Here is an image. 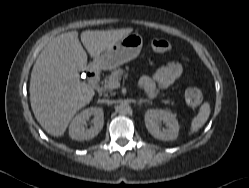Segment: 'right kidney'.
I'll use <instances>...</instances> for the list:
<instances>
[{
  "label": "right kidney",
  "instance_id": "ca27d5eb",
  "mask_svg": "<svg viewBox=\"0 0 249 188\" xmlns=\"http://www.w3.org/2000/svg\"><path fill=\"white\" fill-rule=\"evenodd\" d=\"M91 116L93 118V126L85 127V123ZM104 112L100 107H90L75 116L69 126V135L73 140H89L94 138L103 128Z\"/></svg>",
  "mask_w": 249,
  "mask_h": 188
}]
</instances>
